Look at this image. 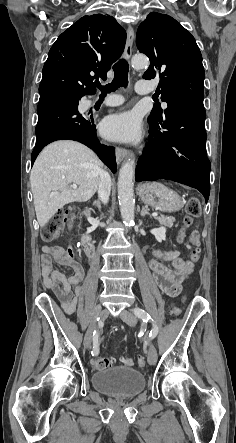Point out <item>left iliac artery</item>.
I'll list each match as a JSON object with an SVG mask.
<instances>
[{
    "label": "left iliac artery",
    "mask_w": 236,
    "mask_h": 443,
    "mask_svg": "<svg viewBox=\"0 0 236 443\" xmlns=\"http://www.w3.org/2000/svg\"><path fill=\"white\" fill-rule=\"evenodd\" d=\"M132 311L143 322L147 323L148 321H152L153 327L149 333V339L155 338L158 334V326L153 322V319L151 318V316L145 310H143L141 308H134Z\"/></svg>",
    "instance_id": "obj_1"
}]
</instances>
